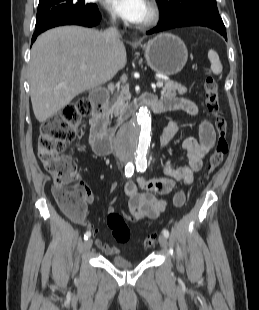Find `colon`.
Here are the masks:
<instances>
[{
  "instance_id": "5ec220e1",
  "label": "colon",
  "mask_w": 259,
  "mask_h": 310,
  "mask_svg": "<svg viewBox=\"0 0 259 310\" xmlns=\"http://www.w3.org/2000/svg\"><path fill=\"white\" fill-rule=\"evenodd\" d=\"M204 98L205 107L214 117L216 128L214 151L204 172V178L207 179L218 169L228 152L227 122L221 109L217 82L210 74L204 82ZM89 110L90 102L86 98L65 106L60 114L43 123L38 139L40 162L54 180V199L73 221L84 216L88 194L78 178L73 158L64 151L67 143L75 137L80 118ZM107 226L117 242L126 243L130 239V229L121 214L108 212ZM156 239V234L147 235L143 239V246L146 249L152 248Z\"/></svg>"
}]
</instances>
